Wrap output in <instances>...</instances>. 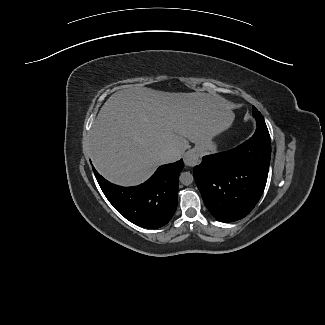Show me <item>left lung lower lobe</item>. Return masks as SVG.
<instances>
[{
  "instance_id": "1",
  "label": "left lung lower lobe",
  "mask_w": 325,
  "mask_h": 325,
  "mask_svg": "<svg viewBox=\"0 0 325 325\" xmlns=\"http://www.w3.org/2000/svg\"><path fill=\"white\" fill-rule=\"evenodd\" d=\"M255 118L257 130L249 140L230 151L204 156L201 164L194 167L204 203L220 222L244 218L264 191L271 141L263 116Z\"/></svg>"
}]
</instances>
